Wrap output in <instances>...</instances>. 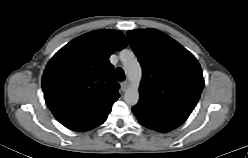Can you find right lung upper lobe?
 I'll return each mask as SVG.
<instances>
[{"instance_id":"obj_1","label":"right lung upper lobe","mask_w":248,"mask_h":158,"mask_svg":"<svg viewBox=\"0 0 248 158\" xmlns=\"http://www.w3.org/2000/svg\"><path fill=\"white\" fill-rule=\"evenodd\" d=\"M127 46L121 31L83 34L49 61L42 78L46 104L65 127L87 131L101 125L119 97L108 58Z\"/></svg>"}]
</instances>
